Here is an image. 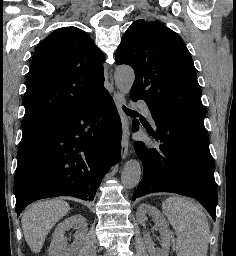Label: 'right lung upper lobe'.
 Wrapping results in <instances>:
<instances>
[{
    "label": "right lung upper lobe",
    "mask_w": 236,
    "mask_h": 256,
    "mask_svg": "<svg viewBox=\"0 0 236 256\" xmlns=\"http://www.w3.org/2000/svg\"><path fill=\"white\" fill-rule=\"evenodd\" d=\"M104 55L77 27L55 30L32 57L23 104V121L56 120L103 96Z\"/></svg>",
    "instance_id": "cb5924a9"
}]
</instances>
